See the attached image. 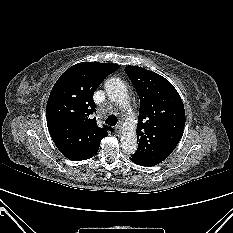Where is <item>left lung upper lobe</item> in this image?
<instances>
[{
    "instance_id": "5c2ea615",
    "label": "left lung upper lobe",
    "mask_w": 233,
    "mask_h": 233,
    "mask_svg": "<svg viewBox=\"0 0 233 233\" xmlns=\"http://www.w3.org/2000/svg\"><path fill=\"white\" fill-rule=\"evenodd\" d=\"M125 72L140 98L137 151L131 156L145 166H154L175 149L183 134L185 110L174 86L161 75L137 66Z\"/></svg>"
}]
</instances>
